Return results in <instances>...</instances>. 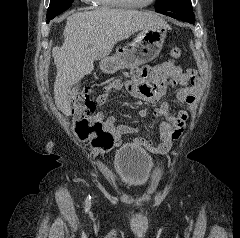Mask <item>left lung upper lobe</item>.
Segmentation results:
<instances>
[{"mask_svg":"<svg viewBox=\"0 0 240 238\" xmlns=\"http://www.w3.org/2000/svg\"><path fill=\"white\" fill-rule=\"evenodd\" d=\"M155 10L157 12H172L194 17L190 0H156Z\"/></svg>","mask_w":240,"mask_h":238,"instance_id":"obj_1","label":"left lung upper lobe"}]
</instances>
